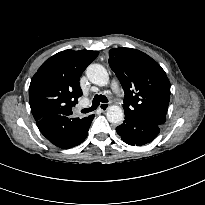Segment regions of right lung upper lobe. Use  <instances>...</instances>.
I'll return each mask as SVG.
<instances>
[{
	"label": "right lung upper lobe",
	"mask_w": 205,
	"mask_h": 205,
	"mask_svg": "<svg viewBox=\"0 0 205 205\" xmlns=\"http://www.w3.org/2000/svg\"><path fill=\"white\" fill-rule=\"evenodd\" d=\"M99 52L65 50L46 60L33 76L29 87V101L36 121L50 115H72V108L82 95L79 79L85 68ZM83 119L73 118L70 129Z\"/></svg>",
	"instance_id": "1"
}]
</instances>
